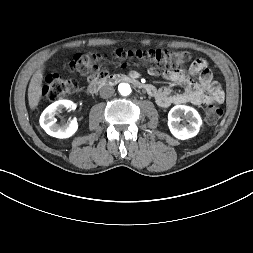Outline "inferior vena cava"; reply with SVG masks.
Returning a JSON list of instances; mask_svg holds the SVG:
<instances>
[{"label":"inferior vena cava","instance_id":"602c4592","mask_svg":"<svg viewBox=\"0 0 253 253\" xmlns=\"http://www.w3.org/2000/svg\"><path fill=\"white\" fill-rule=\"evenodd\" d=\"M114 92H115V89L112 86H103L100 89L99 93L102 98H109L114 94Z\"/></svg>","mask_w":253,"mask_h":253}]
</instances>
